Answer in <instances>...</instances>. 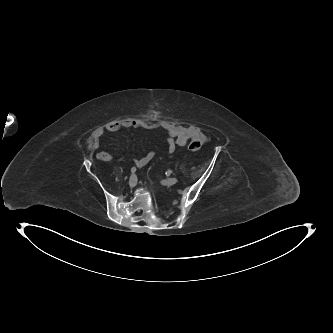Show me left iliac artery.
<instances>
[{"label":"left iliac artery","mask_w":333,"mask_h":333,"mask_svg":"<svg viewBox=\"0 0 333 333\" xmlns=\"http://www.w3.org/2000/svg\"><path fill=\"white\" fill-rule=\"evenodd\" d=\"M170 173H171L170 171H167V172H166V175H170Z\"/></svg>","instance_id":"1"}]
</instances>
